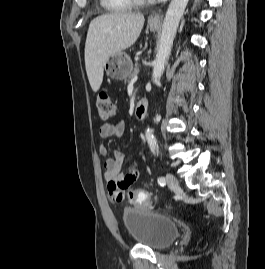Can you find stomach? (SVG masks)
Masks as SVG:
<instances>
[{
	"label": "stomach",
	"mask_w": 265,
	"mask_h": 269,
	"mask_svg": "<svg viewBox=\"0 0 265 269\" xmlns=\"http://www.w3.org/2000/svg\"><path fill=\"white\" fill-rule=\"evenodd\" d=\"M151 31L158 29L157 24L149 23ZM106 74L115 80H123L127 78L133 69V64L130 57L123 52L112 54L105 63Z\"/></svg>",
	"instance_id": "0dacf381"
}]
</instances>
